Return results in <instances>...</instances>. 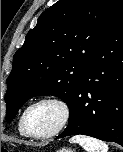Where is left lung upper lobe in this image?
<instances>
[{"instance_id":"obj_1","label":"left lung upper lobe","mask_w":123,"mask_h":152,"mask_svg":"<svg viewBox=\"0 0 123 152\" xmlns=\"http://www.w3.org/2000/svg\"><path fill=\"white\" fill-rule=\"evenodd\" d=\"M121 0H59L44 11L16 52L7 79L6 120L30 98L55 95L69 106L85 64Z\"/></svg>"}]
</instances>
